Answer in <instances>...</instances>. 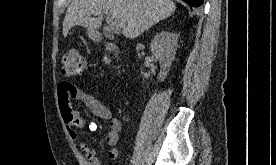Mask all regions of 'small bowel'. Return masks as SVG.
<instances>
[{
  "instance_id": "small-bowel-1",
  "label": "small bowel",
  "mask_w": 276,
  "mask_h": 165,
  "mask_svg": "<svg viewBox=\"0 0 276 165\" xmlns=\"http://www.w3.org/2000/svg\"><path fill=\"white\" fill-rule=\"evenodd\" d=\"M58 105L61 117L65 123L66 129L71 139L81 148L88 165H102L100 158L97 156L96 150L83 141L79 132L85 126V119L72 106V100L82 101L96 117L108 122V130L105 135V141L110 147L108 157L111 160L117 158L118 151L116 145L120 138L121 122L115 117L111 110L95 98L94 95L78 88L69 81H61L57 87ZM98 129L96 122L89 124V130Z\"/></svg>"
}]
</instances>
